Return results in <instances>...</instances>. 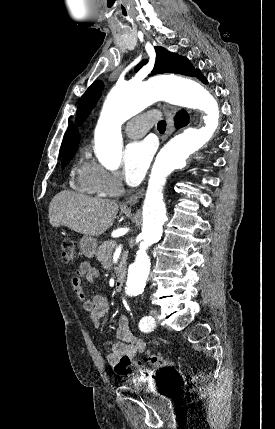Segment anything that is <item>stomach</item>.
Masks as SVG:
<instances>
[{
	"mask_svg": "<svg viewBox=\"0 0 275 429\" xmlns=\"http://www.w3.org/2000/svg\"><path fill=\"white\" fill-rule=\"evenodd\" d=\"M79 247L82 253L88 257L92 258L97 249V240L91 236L84 235L79 242Z\"/></svg>",
	"mask_w": 275,
	"mask_h": 429,
	"instance_id": "stomach-1",
	"label": "stomach"
}]
</instances>
